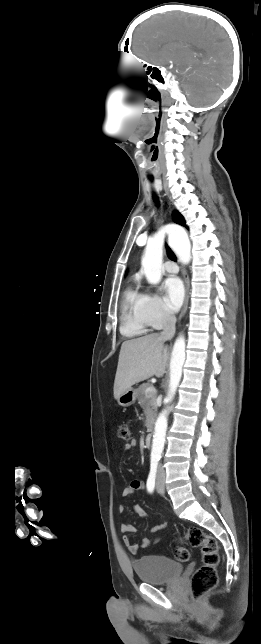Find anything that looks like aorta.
<instances>
[{"mask_svg": "<svg viewBox=\"0 0 261 644\" xmlns=\"http://www.w3.org/2000/svg\"><path fill=\"white\" fill-rule=\"evenodd\" d=\"M169 241L175 245L176 250L182 261L188 262L190 256V245L185 235H178L174 229H167ZM165 231H161L148 240L142 257V268L147 281L150 284H157L162 278L164 272L163 262V244H164ZM185 361V339L180 336L176 339L170 360V382L169 391L165 398L166 402L170 403L176 393L177 387L182 376V367ZM167 408L164 409L158 416L152 441L151 457H160L165 444V437L167 431Z\"/></svg>", "mask_w": 261, "mask_h": 644, "instance_id": "1", "label": "aorta"}]
</instances>
